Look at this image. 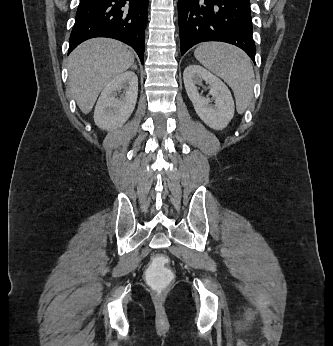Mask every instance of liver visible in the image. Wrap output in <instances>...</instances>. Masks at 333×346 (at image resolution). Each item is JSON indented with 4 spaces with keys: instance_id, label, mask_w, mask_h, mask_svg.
<instances>
[{
    "instance_id": "obj_1",
    "label": "liver",
    "mask_w": 333,
    "mask_h": 346,
    "mask_svg": "<svg viewBox=\"0 0 333 346\" xmlns=\"http://www.w3.org/2000/svg\"><path fill=\"white\" fill-rule=\"evenodd\" d=\"M133 63V53L119 41L94 38L80 44L68 58L70 92L80 110L88 114L102 89Z\"/></svg>"
}]
</instances>
